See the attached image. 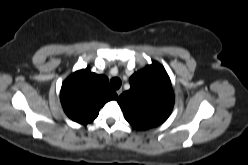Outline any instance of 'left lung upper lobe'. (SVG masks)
<instances>
[{
  "label": "left lung upper lobe",
  "instance_id": "5c2ea615",
  "mask_svg": "<svg viewBox=\"0 0 248 165\" xmlns=\"http://www.w3.org/2000/svg\"><path fill=\"white\" fill-rule=\"evenodd\" d=\"M118 103L125 119L136 129L145 130L162 124L174 106L170 78L162 65L154 61L130 77V90Z\"/></svg>",
  "mask_w": 248,
  "mask_h": 165
}]
</instances>
